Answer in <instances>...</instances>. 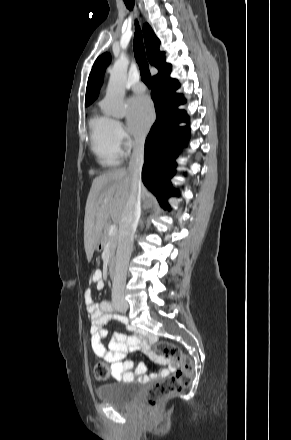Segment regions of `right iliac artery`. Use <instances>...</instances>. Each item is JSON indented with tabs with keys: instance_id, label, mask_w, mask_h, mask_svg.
Listing matches in <instances>:
<instances>
[{
	"instance_id": "82829eb1",
	"label": "right iliac artery",
	"mask_w": 291,
	"mask_h": 440,
	"mask_svg": "<svg viewBox=\"0 0 291 440\" xmlns=\"http://www.w3.org/2000/svg\"><path fill=\"white\" fill-rule=\"evenodd\" d=\"M109 310H110V311H113V307H112L111 305H110V307H109Z\"/></svg>"
}]
</instances>
